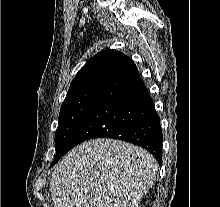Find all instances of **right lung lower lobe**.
I'll use <instances>...</instances> for the list:
<instances>
[{
	"label": "right lung lower lobe",
	"mask_w": 220,
	"mask_h": 207,
	"mask_svg": "<svg viewBox=\"0 0 220 207\" xmlns=\"http://www.w3.org/2000/svg\"><path fill=\"white\" fill-rule=\"evenodd\" d=\"M101 137L143 147L161 162L160 118L135 64L104 81L65 153L85 140Z\"/></svg>",
	"instance_id": "right-lung-lower-lobe-1"
}]
</instances>
